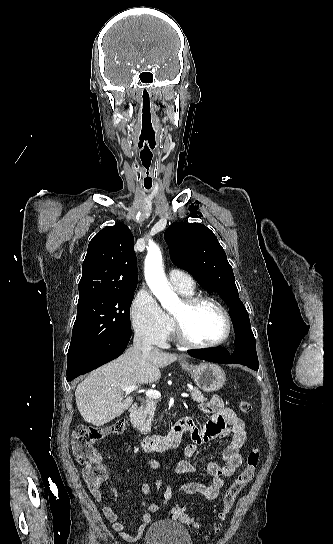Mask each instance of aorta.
<instances>
[{
	"label": "aorta",
	"instance_id": "1",
	"mask_svg": "<svg viewBox=\"0 0 333 544\" xmlns=\"http://www.w3.org/2000/svg\"><path fill=\"white\" fill-rule=\"evenodd\" d=\"M145 279L164 309L170 311L178 305L179 298L168 285L162 266L161 251L157 246L148 249L145 259Z\"/></svg>",
	"mask_w": 333,
	"mask_h": 544
}]
</instances>
